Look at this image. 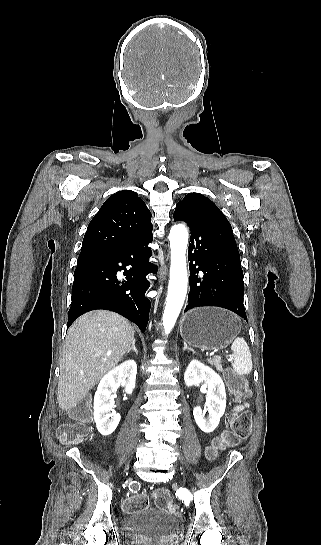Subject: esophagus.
Here are the masks:
<instances>
[{
  "mask_svg": "<svg viewBox=\"0 0 321 545\" xmlns=\"http://www.w3.org/2000/svg\"><path fill=\"white\" fill-rule=\"evenodd\" d=\"M166 273H167V268H166V267L160 269V272H159V278H160V280H163V278H164V276L166 275Z\"/></svg>",
  "mask_w": 321,
  "mask_h": 545,
  "instance_id": "1",
  "label": "esophagus"
}]
</instances>
